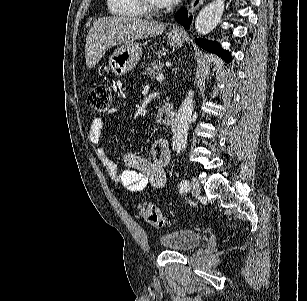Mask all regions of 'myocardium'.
Listing matches in <instances>:
<instances>
[{"label":"myocardium","instance_id":"myocardium-1","mask_svg":"<svg viewBox=\"0 0 307 301\" xmlns=\"http://www.w3.org/2000/svg\"><path fill=\"white\" fill-rule=\"evenodd\" d=\"M140 4L146 2V5L139 6L141 7L139 10L143 13L140 14V17H147V18H157L158 12H170L168 10L167 4H157L156 0H138Z\"/></svg>","mask_w":307,"mask_h":301}]
</instances>
